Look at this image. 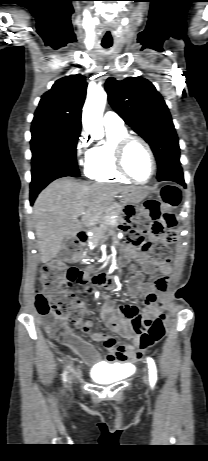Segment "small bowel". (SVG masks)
<instances>
[{
    "mask_svg": "<svg viewBox=\"0 0 208 461\" xmlns=\"http://www.w3.org/2000/svg\"><path fill=\"white\" fill-rule=\"evenodd\" d=\"M122 210L124 214L121 215V220L123 222H132L133 217H139L141 214L136 204H124ZM162 239V248L172 249L173 242L180 240V233H175L174 229H165ZM124 253L127 258L135 259L143 266L145 271L151 273L157 270L160 273V276L153 282H146L141 272L133 274L128 280L127 287L129 295L134 298L142 294L146 299L142 309L133 304H125L121 305L117 310L116 302L111 297L105 296L104 298V304L100 311L101 318L112 331L130 341L138 340L141 332L144 330L141 311L150 317H155L160 312L161 305L164 302L162 295L167 290L171 267L168 264L156 266L147 253L138 250L132 245L126 246ZM90 276L87 279L88 283L85 285L80 283L78 285L80 290L85 288L89 291L87 293L89 298L94 296V293L91 291L93 288L100 289L103 285L110 291L115 288V282L108 279L111 276L109 271H92ZM127 305L135 312L133 316L128 317L125 315L124 308ZM73 324L84 332H90L92 321L78 318L74 319ZM92 338L104 344L109 352L104 360L109 364H120L123 367L122 373L124 376L128 370L132 369V362L137 361L140 357L138 348H131L129 344L116 346L115 339L105 332L96 331L92 333ZM64 345L73 350L86 363L94 364L100 362L102 359L93 346L86 341L77 339L73 343L64 342Z\"/></svg>",
    "mask_w": 208,
    "mask_h": 461,
    "instance_id": "c3829d8e",
    "label": "small bowel"
}]
</instances>
